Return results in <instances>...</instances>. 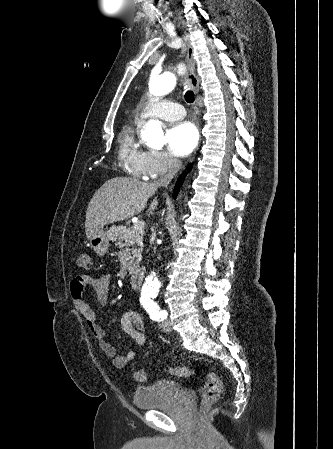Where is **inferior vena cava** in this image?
<instances>
[{
	"instance_id": "obj_1",
	"label": "inferior vena cava",
	"mask_w": 333,
	"mask_h": 449,
	"mask_svg": "<svg viewBox=\"0 0 333 449\" xmlns=\"http://www.w3.org/2000/svg\"><path fill=\"white\" fill-rule=\"evenodd\" d=\"M180 168L181 161L176 158H171L167 174L163 178H161L157 184L168 185Z\"/></svg>"
}]
</instances>
